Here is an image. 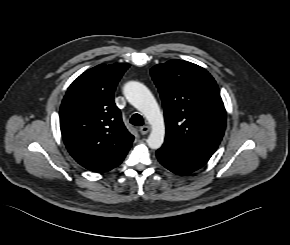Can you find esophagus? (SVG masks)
Masks as SVG:
<instances>
[{
  "mask_svg": "<svg viewBox=\"0 0 290 245\" xmlns=\"http://www.w3.org/2000/svg\"><path fill=\"white\" fill-rule=\"evenodd\" d=\"M151 128L148 125H144L142 127H140L139 131L142 135L147 134L148 132H150Z\"/></svg>",
  "mask_w": 290,
  "mask_h": 245,
  "instance_id": "1",
  "label": "esophagus"
}]
</instances>
